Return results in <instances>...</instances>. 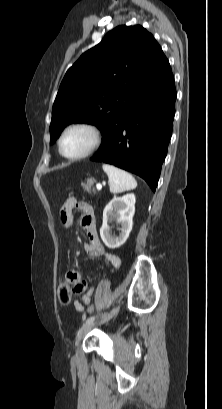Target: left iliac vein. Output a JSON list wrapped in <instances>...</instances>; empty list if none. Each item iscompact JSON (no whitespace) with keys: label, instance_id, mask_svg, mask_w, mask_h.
Returning a JSON list of instances; mask_svg holds the SVG:
<instances>
[{"label":"left iliac vein","instance_id":"left-iliac-vein-1","mask_svg":"<svg viewBox=\"0 0 222 409\" xmlns=\"http://www.w3.org/2000/svg\"><path fill=\"white\" fill-rule=\"evenodd\" d=\"M118 311H119V306L116 307V308H114L109 314H107L106 316H104V317L101 319L100 322H96V323L92 322V323H89V324H84V325L79 329V331H78L77 340H78V341H81V340L86 336V334H87L90 330H92L96 325H98V324H100V323H104V322L110 320L111 318H113V317L118 313Z\"/></svg>","mask_w":222,"mask_h":409}]
</instances>
